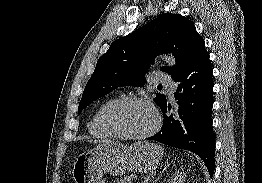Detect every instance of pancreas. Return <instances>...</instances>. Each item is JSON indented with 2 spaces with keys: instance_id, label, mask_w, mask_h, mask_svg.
<instances>
[{
  "instance_id": "pancreas-1",
  "label": "pancreas",
  "mask_w": 262,
  "mask_h": 183,
  "mask_svg": "<svg viewBox=\"0 0 262 183\" xmlns=\"http://www.w3.org/2000/svg\"><path fill=\"white\" fill-rule=\"evenodd\" d=\"M134 176L130 175V176H126L123 179H120L119 182L117 183H131V181L133 180Z\"/></svg>"
}]
</instances>
